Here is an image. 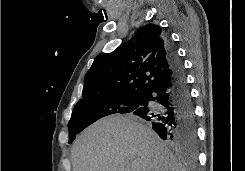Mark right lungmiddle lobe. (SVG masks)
<instances>
[{"mask_svg":"<svg viewBox=\"0 0 245 171\" xmlns=\"http://www.w3.org/2000/svg\"><path fill=\"white\" fill-rule=\"evenodd\" d=\"M142 104V96L118 95L78 102L68 123L69 143L76 135L98 119L111 114L131 113Z\"/></svg>","mask_w":245,"mask_h":171,"instance_id":"obj_1","label":"right lung middle lobe"}]
</instances>
